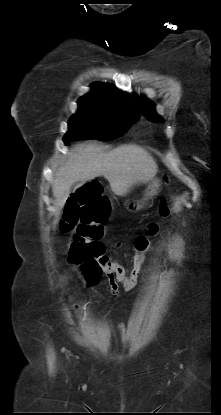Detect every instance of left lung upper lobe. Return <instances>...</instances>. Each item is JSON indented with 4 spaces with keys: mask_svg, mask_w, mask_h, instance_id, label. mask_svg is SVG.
Segmentation results:
<instances>
[{
    "mask_svg": "<svg viewBox=\"0 0 221 415\" xmlns=\"http://www.w3.org/2000/svg\"><path fill=\"white\" fill-rule=\"evenodd\" d=\"M137 100V104L142 112V114L148 118L152 122H163L164 120L155 113L154 111V105L152 103H149L144 99L143 96L140 98L135 96Z\"/></svg>",
    "mask_w": 221,
    "mask_h": 415,
    "instance_id": "obj_1",
    "label": "left lung upper lobe"
}]
</instances>
